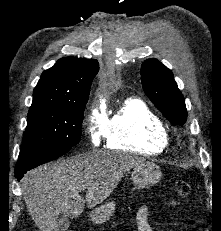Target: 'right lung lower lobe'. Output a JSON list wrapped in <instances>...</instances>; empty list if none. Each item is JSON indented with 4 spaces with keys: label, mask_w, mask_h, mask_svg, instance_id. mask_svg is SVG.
Returning a JSON list of instances; mask_svg holds the SVG:
<instances>
[{
    "label": "right lung lower lobe",
    "mask_w": 221,
    "mask_h": 231,
    "mask_svg": "<svg viewBox=\"0 0 221 231\" xmlns=\"http://www.w3.org/2000/svg\"><path fill=\"white\" fill-rule=\"evenodd\" d=\"M68 151H62V152H56V153H47V154H43V155H40L38 157H35L33 159H31L30 161L22 164V165H16V168H15V176L17 178V180H21L23 175L41 165V164H44L46 162H49V161H52V160H55L57 158H59L60 156L64 155L65 153H67Z\"/></svg>",
    "instance_id": "98d812e1"
}]
</instances>
